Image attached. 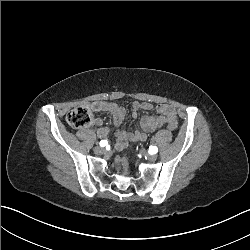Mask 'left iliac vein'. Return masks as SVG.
<instances>
[{
    "instance_id": "obj_1",
    "label": "left iliac vein",
    "mask_w": 250,
    "mask_h": 250,
    "mask_svg": "<svg viewBox=\"0 0 250 250\" xmlns=\"http://www.w3.org/2000/svg\"><path fill=\"white\" fill-rule=\"evenodd\" d=\"M142 151L145 153V149L143 148ZM146 158L149 160V161H155L157 159V155L155 154H151V155H146Z\"/></svg>"
}]
</instances>
